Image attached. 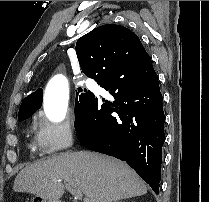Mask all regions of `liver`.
Masks as SVG:
<instances>
[{
  "mask_svg": "<svg viewBox=\"0 0 209 202\" xmlns=\"http://www.w3.org/2000/svg\"><path fill=\"white\" fill-rule=\"evenodd\" d=\"M62 181L82 191L85 202H112L146 194L147 186L125 163L90 151L52 155L23 168L13 190L59 200Z\"/></svg>",
  "mask_w": 209,
  "mask_h": 202,
  "instance_id": "6515ba94",
  "label": "liver"
}]
</instances>
